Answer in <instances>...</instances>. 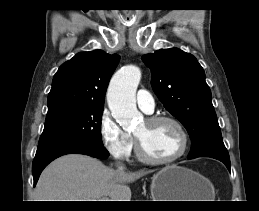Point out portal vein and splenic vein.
Here are the masks:
<instances>
[{
    "label": "portal vein and splenic vein",
    "instance_id": "obj_1",
    "mask_svg": "<svg viewBox=\"0 0 259 211\" xmlns=\"http://www.w3.org/2000/svg\"><path fill=\"white\" fill-rule=\"evenodd\" d=\"M98 201H111V199H108V198H106V197H103V198L99 199Z\"/></svg>",
    "mask_w": 259,
    "mask_h": 211
}]
</instances>
